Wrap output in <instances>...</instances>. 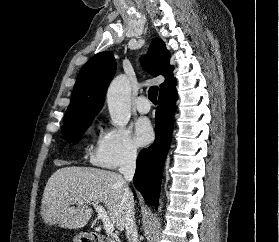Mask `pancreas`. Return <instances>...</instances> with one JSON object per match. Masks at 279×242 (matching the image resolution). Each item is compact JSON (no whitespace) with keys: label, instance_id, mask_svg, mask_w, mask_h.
Wrapping results in <instances>:
<instances>
[{"label":"pancreas","instance_id":"obj_1","mask_svg":"<svg viewBox=\"0 0 279 242\" xmlns=\"http://www.w3.org/2000/svg\"><path fill=\"white\" fill-rule=\"evenodd\" d=\"M107 242H117L116 240H111V239H108Z\"/></svg>","mask_w":279,"mask_h":242}]
</instances>
